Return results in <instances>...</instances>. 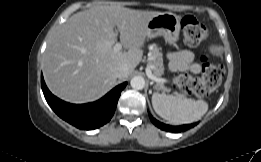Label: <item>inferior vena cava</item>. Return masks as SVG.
Masks as SVG:
<instances>
[{
    "mask_svg": "<svg viewBox=\"0 0 261 162\" xmlns=\"http://www.w3.org/2000/svg\"><path fill=\"white\" fill-rule=\"evenodd\" d=\"M113 74L116 78H125L129 75V69L127 65L122 64L114 68Z\"/></svg>",
    "mask_w": 261,
    "mask_h": 162,
    "instance_id": "inferior-vena-cava-1",
    "label": "inferior vena cava"
}]
</instances>
